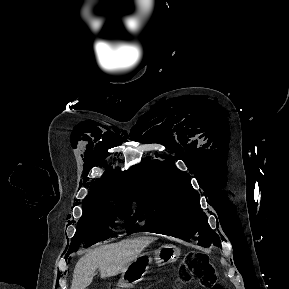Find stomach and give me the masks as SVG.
<instances>
[{
    "label": "stomach",
    "instance_id": "obj_1",
    "mask_svg": "<svg viewBox=\"0 0 289 289\" xmlns=\"http://www.w3.org/2000/svg\"><path fill=\"white\" fill-rule=\"evenodd\" d=\"M149 255V253L140 254L137 259L132 262L131 267L129 266L126 271L122 272L119 287H132L149 271V264L152 260L151 258L146 259ZM154 255L156 263L167 264L177 260L180 255V250L172 244H166L157 249Z\"/></svg>",
    "mask_w": 289,
    "mask_h": 289
}]
</instances>
